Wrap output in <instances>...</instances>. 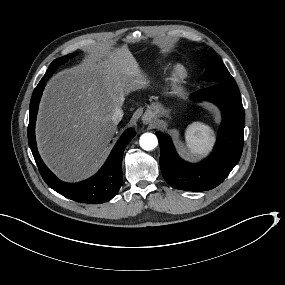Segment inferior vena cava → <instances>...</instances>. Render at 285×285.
<instances>
[{
  "instance_id": "inferior-vena-cava-1",
  "label": "inferior vena cava",
  "mask_w": 285,
  "mask_h": 285,
  "mask_svg": "<svg viewBox=\"0 0 285 285\" xmlns=\"http://www.w3.org/2000/svg\"><path fill=\"white\" fill-rule=\"evenodd\" d=\"M123 117V111L121 108H117L112 116L113 123L117 124Z\"/></svg>"
}]
</instances>
